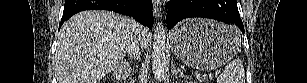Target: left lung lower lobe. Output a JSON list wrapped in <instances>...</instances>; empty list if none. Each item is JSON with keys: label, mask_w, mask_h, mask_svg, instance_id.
Masks as SVG:
<instances>
[{"label": "left lung lower lobe", "mask_w": 307, "mask_h": 83, "mask_svg": "<svg viewBox=\"0 0 307 83\" xmlns=\"http://www.w3.org/2000/svg\"><path fill=\"white\" fill-rule=\"evenodd\" d=\"M205 17L227 24L234 23L244 33L236 0H170L167 28L171 29L185 18Z\"/></svg>", "instance_id": "obj_1"}]
</instances>
